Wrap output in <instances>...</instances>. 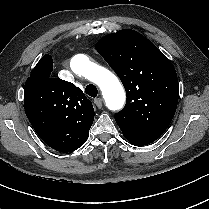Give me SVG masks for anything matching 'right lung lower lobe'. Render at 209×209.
Instances as JSON below:
<instances>
[{
    "label": "right lung lower lobe",
    "mask_w": 209,
    "mask_h": 209,
    "mask_svg": "<svg viewBox=\"0 0 209 209\" xmlns=\"http://www.w3.org/2000/svg\"><path fill=\"white\" fill-rule=\"evenodd\" d=\"M36 133L40 138L51 148L59 152H72L70 147L58 141V139L53 135V131L50 129H35Z\"/></svg>",
    "instance_id": "98d812e1"
}]
</instances>
